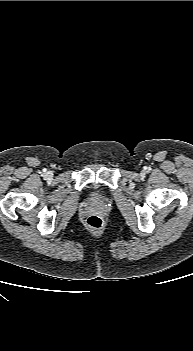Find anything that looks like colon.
Instances as JSON below:
<instances>
[{
	"label": "colon",
	"mask_w": 193,
	"mask_h": 351,
	"mask_svg": "<svg viewBox=\"0 0 193 351\" xmlns=\"http://www.w3.org/2000/svg\"><path fill=\"white\" fill-rule=\"evenodd\" d=\"M86 225L90 229L100 230L103 227V220L101 217H99L97 215H92V216L87 218Z\"/></svg>",
	"instance_id": "colon-1"
}]
</instances>
